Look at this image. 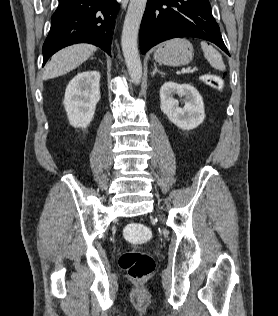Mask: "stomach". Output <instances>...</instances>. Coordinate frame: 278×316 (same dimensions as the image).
<instances>
[{
	"label": "stomach",
	"mask_w": 278,
	"mask_h": 316,
	"mask_svg": "<svg viewBox=\"0 0 278 316\" xmlns=\"http://www.w3.org/2000/svg\"><path fill=\"white\" fill-rule=\"evenodd\" d=\"M193 58V47L186 39H173L159 46L154 59L160 64L181 66L188 64Z\"/></svg>",
	"instance_id": "0dacf381"
}]
</instances>
